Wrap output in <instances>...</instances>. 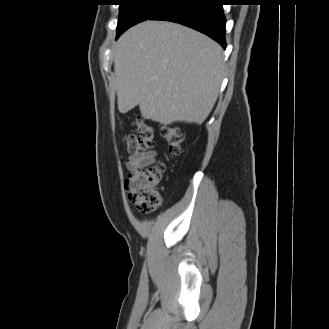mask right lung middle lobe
Instances as JSON below:
<instances>
[{"label": "right lung middle lobe", "mask_w": 329, "mask_h": 329, "mask_svg": "<svg viewBox=\"0 0 329 329\" xmlns=\"http://www.w3.org/2000/svg\"><path fill=\"white\" fill-rule=\"evenodd\" d=\"M120 13L117 38L129 27L150 19L159 10L175 0H118Z\"/></svg>", "instance_id": "obj_1"}]
</instances>
